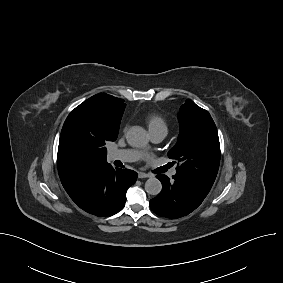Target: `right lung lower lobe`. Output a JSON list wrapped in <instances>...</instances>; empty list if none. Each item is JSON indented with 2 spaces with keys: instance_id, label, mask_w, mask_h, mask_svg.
<instances>
[{
  "instance_id": "obj_1",
  "label": "right lung lower lobe",
  "mask_w": 283,
  "mask_h": 283,
  "mask_svg": "<svg viewBox=\"0 0 283 283\" xmlns=\"http://www.w3.org/2000/svg\"><path fill=\"white\" fill-rule=\"evenodd\" d=\"M136 179L135 171L114 169L109 163H104L74 176L63 187L84 211L110 216L124 208L126 191Z\"/></svg>"
}]
</instances>
